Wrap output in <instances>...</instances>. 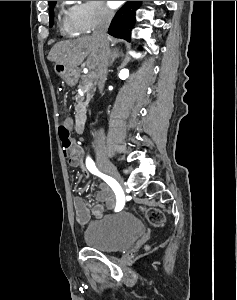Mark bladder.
I'll list each match as a JSON object with an SVG mask.
<instances>
[{"label": "bladder", "mask_w": 237, "mask_h": 300, "mask_svg": "<svg viewBox=\"0 0 237 300\" xmlns=\"http://www.w3.org/2000/svg\"><path fill=\"white\" fill-rule=\"evenodd\" d=\"M143 230L136 215L122 211L91 221L83 231V240L90 248L115 252L129 248Z\"/></svg>", "instance_id": "obj_1"}]
</instances>
